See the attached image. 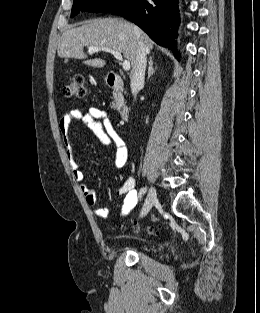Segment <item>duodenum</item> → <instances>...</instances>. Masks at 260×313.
Wrapping results in <instances>:
<instances>
[{
	"label": "duodenum",
	"instance_id": "410a0bca",
	"mask_svg": "<svg viewBox=\"0 0 260 313\" xmlns=\"http://www.w3.org/2000/svg\"><path fill=\"white\" fill-rule=\"evenodd\" d=\"M107 85L115 91L117 99L120 101L124 91V83L121 77L114 72H110L107 77ZM119 116L124 122L130 119V110L126 105L121 104L119 107Z\"/></svg>",
	"mask_w": 260,
	"mask_h": 313
}]
</instances>
